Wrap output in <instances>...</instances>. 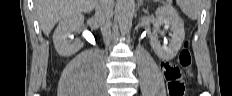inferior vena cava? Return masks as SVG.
Listing matches in <instances>:
<instances>
[{
  "mask_svg": "<svg viewBox=\"0 0 232 96\" xmlns=\"http://www.w3.org/2000/svg\"><path fill=\"white\" fill-rule=\"evenodd\" d=\"M114 0H97L95 11L96 17L100 22V28L106 44H109L111 39V23L110 19L113 15Z\"/></svg>",
  "mask_w": 232,
  "mask_h": 96,
  "instance_id": "inferior-vena-cava-1",
  "label": "inferior vena cava"
}]
</instances>
